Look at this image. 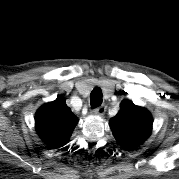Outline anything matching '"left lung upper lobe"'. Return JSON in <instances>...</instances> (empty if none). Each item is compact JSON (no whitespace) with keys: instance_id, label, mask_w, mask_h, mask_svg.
Segmentation results:
<instances>
[{"instance_id":"obj_1","label":"left lung upper lobe","mask_w":179,"mask_h":179,"mask_svg":"<svg viewBox=\"0 0 179 179\" xmlns=\"http://www.w3.org/2000/svg\"><path fill=\"white\" fill-rule=\"evenodd\" d=\"M152 123L149 111L134 105L130 100H124L118 114L110 120L109 125L117 142L132 149L148 138L152 131Z\"/></svg>"}]
</instances>
